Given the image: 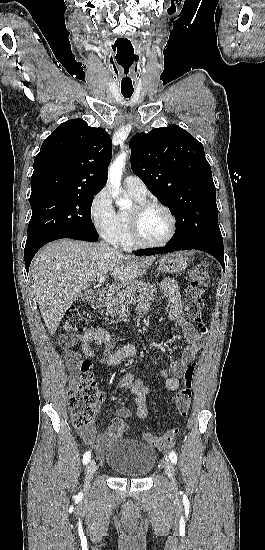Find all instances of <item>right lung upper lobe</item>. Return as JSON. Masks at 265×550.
<instances>
[{
	"instance_id": "obj_1",
	"label": "right lung upper lobe",
	"mask_w": 265,
	"mask_h": 550,
	"mask_svg": "<svg viewBox=\"0 0 265 550\" xmlns=\"http://www.w3.org/2000/svg\"><path fill=\"white\" fill-rule=\"evenodd\" d=\"M112 140L83 119L62 123L48 136L34 160L31 190L96 194L104 187Z\"/></svg>"
}]
</instances>
